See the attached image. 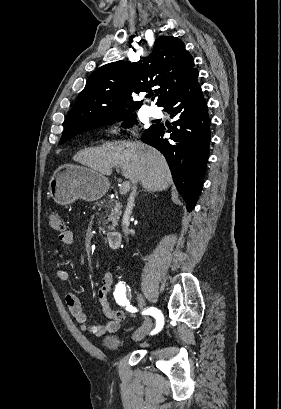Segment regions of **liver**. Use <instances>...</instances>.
<instances>
[{
  "mask_svg": "<svg viewBox=\"0 0 281 409\" xmlns=\"http://www.w3.org/2000/svg\"><path fill=\"white\" fill-rule=\"evenodd\" d=\"M73 158L100 174H112L113 166L121 168L125 178L133 184L140 182L143 188L166 190L172 180L163 154L139 140H118L107 146L83 148Z\"/></svg>",
  "mask_w": 281,
  "mask_h": 409,
  "instance_id": "liver-1",
  "label": "liver"
}]
</instances>
